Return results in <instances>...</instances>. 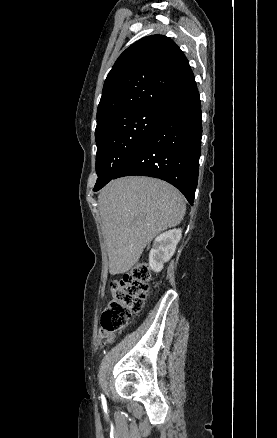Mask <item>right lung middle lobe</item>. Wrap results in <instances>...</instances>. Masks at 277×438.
I'll return each mask as SVG.
<instances>
[{"instance_id": "obj_1", "label": "right lung middle lobe", "mask_w": 277, "mask_h": 438, "mask_svg": "<svg viewBox=\"0 0 277 438\" xmlns=\"http://www.w3.org/2000/svg\"><path fill=\"white\" fill-rule=\"evenodd\" d=\"M163 110L114 115L97 122L95 187L107 184L143 144Z\"/></svg>"}]
</instances>
